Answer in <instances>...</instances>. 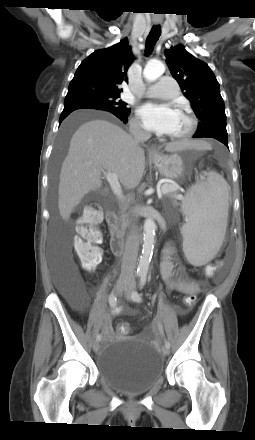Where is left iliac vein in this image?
Returning <instances> with one entry per match:
<instances>
[{
  "mask_svg": "<svg viewBox=\"0 0 255 440\" xmlns=\"http://www.w3.org/2000/svg\"><path fill=\"white\" fill-rule=\"evenodd\" d=\"M132 291H133V284H130V285L127 287V289L125 290V296H126V298H127L128 300H131V299H132V293H133ZM162 351H163V354H164V355H169V353H170V348L167 347V346H164L163 349H162Z\"/></svg>",
  "mask_w": 255,
  "mask_h": 440,
  "instance_id": "4c4485c4",
  "label": "left iliac vein"
}]
</instances>
